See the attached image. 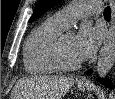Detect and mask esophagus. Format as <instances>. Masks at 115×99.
Here are the masks:
<instances>
[{
	"instance_id": "obj_1",
	"label": "esophagus",
	"mask_w": 115,
	"mask_h": 99,
	"mask_svg": "<svg viewBox=\"0 0 115 99\" xmlns=\"http://www.w3.org/2000/svg\"><path fill=\"white\" fill-rule=\"evenodd\" d=\"M110 6H111V23H113L114 17H115V3H114L113 0H110ZM79 83H81V84H87L88 80L86 78H81L79 80Z\"/></svg>"
}]
</instances>
